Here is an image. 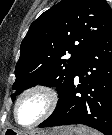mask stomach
I'll list each match as a JSON object with an SVG mask.
<instances>
[{
  "instance_id": "stomach-1",
  "label": "stomach",
  "mask_w": 112,
  "mask_h": 135,
  "mask_svg": "<svg viewBox=\"0 0 112 135\" xmlns=\"http://www.w3.org/2000/svg\"><path fill=\"white\" fill-rule=\"evenodd\" d=\"M5 134L10 135H84V129L78 126H63L59 128H55L50 132L44 131H32L29 133H20L15 130H6Z\"/></svg>"
}]
</instances>
